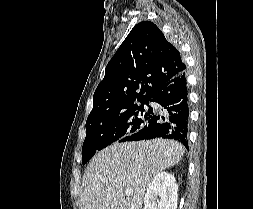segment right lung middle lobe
Returning a JSON list of instances; mask_svg holds the SVG:
<instances>
[{"label": "right lung middle lobe", "instance_id": "dd1d6c3e", "mask_svg": "<svg viewBox=\"0 0 253 209\" xmlns=\"http://www.w3.org/2000/svg\"><path fill=\"white\" fill-rule=\"evenodd\" d=\"M145 104L149 106L148 103H143L121 112L88 118L82 147L83 165L96 151L115 141L124 142L141 130L152 116V110L149 108L147 111Z\"/></svg>", "mask_w": 253, "mask_h": 209}]
</instances>
